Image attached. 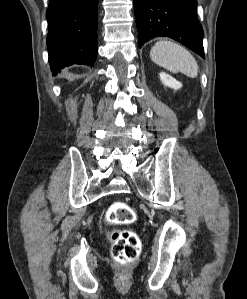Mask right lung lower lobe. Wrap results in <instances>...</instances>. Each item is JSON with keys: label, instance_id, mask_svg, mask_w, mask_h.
Listing matches in <instances>:
<instances>
[{"label": "right lung lower lobe", "instance_id": "right-lung-lower-lobe-1", "mask_svg": "<svg viewBox=\"0 0 247 299\" xmlns=\"http://www.w3.org/2000/svg\"><path fill=\"white\" fill-rule=\"evenodd\" d=\"M98 0H49L47 45L53 73L72 64L94 65Z\"/></svg>", "mask_w": 247, "mask_h": 299}]
</instances>
